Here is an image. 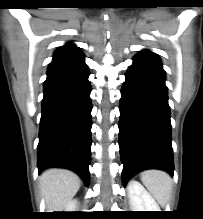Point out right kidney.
<instances>
[{"mask_svg": "<svg viewBox=\"0 0 203 219\" xmlns=\"http://www.w3.org/2000/svg\"><path fill=\"white\" fill-rule=\"evenodd\" d=\"M76 204H77L76 200L69 201L68 204L65 206L64 211L65 212H74L76 209Z\"/></svg>", "mask_w": 203, "mask_h": 219, "instance_id": "right-kidney-1", "label": "right kidney"}]
</instances>
